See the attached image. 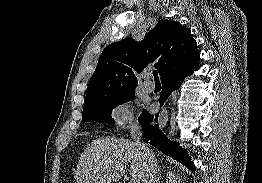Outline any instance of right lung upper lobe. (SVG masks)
Instances as JSON below:
<instances>
[{"instance_id":"cb5924a9","label":"right lung upper lobe","mask_w":262,"mask_h":183,"mask_svg":"<svg viewBox=\"0 0 262 183\" xmlns=\"http://www.w3.org/2000/svg\"><path fill=\"white\" fill-rule=\"evenodd\" d=\"M200 55L190 29L179 22L161 20L140 42L132 38L108 45L100 55L84 104L134 90L136 73L149 64L161 80L199 63Z\"/></svg>"}]
</instances>
